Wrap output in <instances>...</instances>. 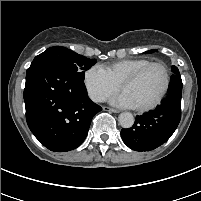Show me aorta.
Here are the masks:
<instances>
[{
    "instance_id": "aorta-1",
    "label": "aorta",
    "mask_w": 201,
    "mask_h": 201,
    "mask_svg": "<svg viewBox=\"0 0 201 201\" xmlns=\"http://www.w3.org/2000/svg\"><path fill=\"white\" fill-rule=\"evenodd\" d=\"M118 121L123 128H130L134 124V117L130 112H123L119 115Z\"/></svg>"
}]
</instances>
